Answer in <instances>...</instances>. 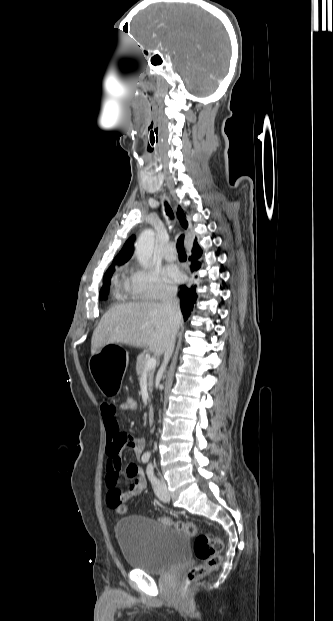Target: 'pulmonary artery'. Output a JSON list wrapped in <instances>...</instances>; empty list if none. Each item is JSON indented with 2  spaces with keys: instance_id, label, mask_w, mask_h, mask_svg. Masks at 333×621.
I'll use <instances>...</instances> for the list:
<instances>
[{
  "instance_id": "e3ab8cb5",
  "label": "pulmonary artery",
  "mask_w": 333,
  "mask_h": 621,
  "mask_svg": "<svg viewBox=\"0 0 333 621\" xmlns=\"http://www.w3.org/2000/svg\"><path fill=\"white\" fill-rule=\"evenodd\" d=\"M163 256L168 261H173L176 259V250L173 244H168L163 252Z\"/></svg>"
}]
</instances>
